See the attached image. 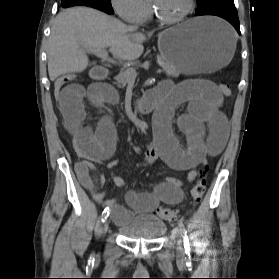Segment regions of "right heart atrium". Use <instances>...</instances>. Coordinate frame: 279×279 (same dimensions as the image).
<instances>
[{
  "instance_id": "right-heart-atrium-1",
  "label": "right heart atrium",
  "mask_w": 279,
  "mask_h": 279,
  "mask_svg": "<svg viewBox=\"0 0 279 279\" xmlns=\"http://www.w3.org/2000/svg\"><path fill=\"white\" fill-rule=\"evenodd\" d=\"M111 5L121 19L133 24L144 22L150 13L143 0H111Z\"/></svg>"
}]
</instances>
